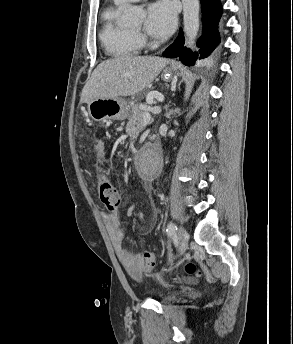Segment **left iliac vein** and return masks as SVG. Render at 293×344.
<instances>
[{
  "instance_id": "4c4485c4",
  "label": "left iliac vein",
  "mask_w": 293,
  "mask_h": 344,
  "mask_svg": "<svg viewBox=\"0 0 293 344\" xmlns=\"http://www.w3.org/2000/svg\"><path fill=\"white\" fill-rule=\"evenodd\" d=\"M177 241H178V252L180 255H182L187 249L188 242H189V234L185 230V228L181 227L179 229L178 235H177Z\"/></svg>"
}]
</instances>
